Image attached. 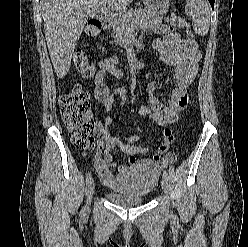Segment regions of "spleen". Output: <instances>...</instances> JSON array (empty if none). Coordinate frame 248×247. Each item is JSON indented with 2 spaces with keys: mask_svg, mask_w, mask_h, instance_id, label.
Instances as JSON below:
<instances>
[{
  "mask_svg": "<svg viewBox=\"0 0 248 247\" xmlns=\"http://www.w3.org/2000/svg\"><path fill=\"white\" fill-rule=\"evenodd\" d=\"M186 14L191 17L194 31L206 35L210 26V7L205 0H186Z\"/></svg>",
  "mask_w": 248,
  "mask_h": 247,
  "instance_id": "obj_1",
  "label": "spleen"
}]
</instances>
